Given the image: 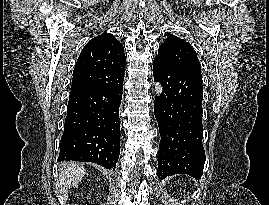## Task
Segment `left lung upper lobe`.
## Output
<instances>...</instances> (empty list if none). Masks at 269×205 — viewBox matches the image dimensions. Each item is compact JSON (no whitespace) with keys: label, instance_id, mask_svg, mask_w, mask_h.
<instances>
[{"label":"left lung upper lobe","instance_id":"left-lung-upper-lobe-1","mask_svg":"<svg viewBox=\"0 0 269 205\" xmlns=\"http://www.w3.org/2000/svg\"><path fill=\"white\" fill-rule=\"evenodd\" d=\"M180 70H192L201 73V64L193 47L185 40L170 35L162 43L156 56Z\"/></svg>","mask_w":269,"mask_h":205}]
</instances>
